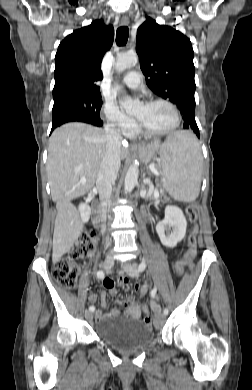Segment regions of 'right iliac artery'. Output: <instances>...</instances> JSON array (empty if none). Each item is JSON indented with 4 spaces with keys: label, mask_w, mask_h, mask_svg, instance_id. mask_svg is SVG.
Masks as SVG:
<instances>
[{
    "label": "right iliac artery",
    "mask_w": 252,
    "mask_h": 390,
    "mask_svg": "<svg viewBox=\"0 0 252 390\" xmlns=\"http://www.w3.org/2000/svg\"><path fill=\"white\" fill-rule=\"evenodd\" d=\"M96 277H98L99 279H103L105 277V274H104V272L102 270H99L97 272V276ZM94 310H95L94 306H90L89 307V311L94 312Z\"/></svg>",
    "instance_id": "obj_1"
}]
</instances>
